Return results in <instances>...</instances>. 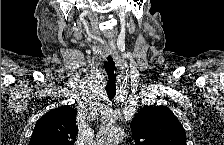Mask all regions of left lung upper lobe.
<instances>
[{
    "label": "left lung upper lobe",
    "mask_w": 224,
    "mask_h": 145,
    "mask_svg": "<svg viewBox=\"0 0 224 145\" xmlns=\"http://www.w3.org/2000/svg\"><path fill=\"white\" fill-rule=\"evenodd\" d=\"M130 126L136 145H186L183 126L165 106L141 108Z\"/></svg>",
    "instance_id": "1"
}]
</instances>
